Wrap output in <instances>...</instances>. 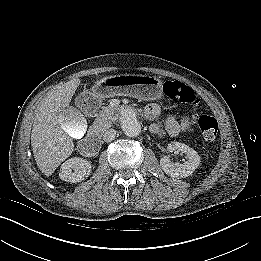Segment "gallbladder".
<instances>
[{
    "mask_svg": "<svg viewBox=\"0 0 261 261\" xmlns=\"http://www.w3.org/2000/svg\"><path fill=\"white\" fill-rule=\"evenodd\" d=\"M62 129L75 139L82 138L87 131V120L74 106L64 107L58 114Z\"/></svg>",
    "mask_w": 261,
    "mask_h": 261,
    "instance_id": "gallbladder-1",
    "label": "gallbladder"
}]
</instances>
